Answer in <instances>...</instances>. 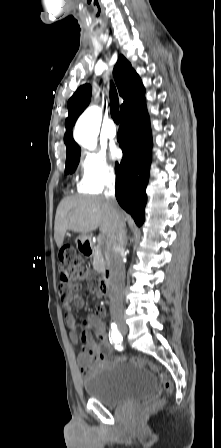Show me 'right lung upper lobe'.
I'll return each instance as SVG.
<instances>
[{"instance_id": "right-lung-upper-lobe-1", "label": "right lung upper lobe", "mask_w": 221, "mask_h": 448, "mask_svg": "<svg viewBox=\"0 0 221 448\" xmlns=\"http://www.w3.org/2000/svg\"><path fill=\"white\" fill-rule=\"evenodd\" d=\"M113 74L119 94L124 99L120 108V113H122L144 98L145 88L138 74L122 55L114 67ZM90 98L91 87L86 84L79 87L68 101V117L65 121L66 133L64 135L67 157L81 152L80 147L73 140L72 127L79 115L88 106Z\"/></svg>"}]
</instances>
